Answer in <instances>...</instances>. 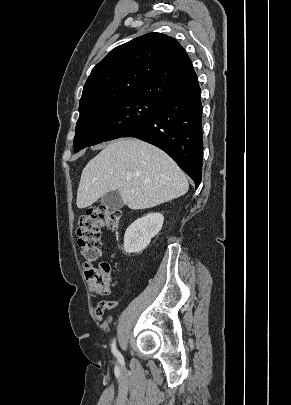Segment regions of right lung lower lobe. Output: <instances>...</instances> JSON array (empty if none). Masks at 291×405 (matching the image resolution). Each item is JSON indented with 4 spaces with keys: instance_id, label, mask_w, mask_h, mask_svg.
I'll return each mask as SVG.
<instances>
[{
    "instance_id": "98d812e1",
    "label": "right lung lower lobe",
    "mask_w": 291,
    "mask_h": 405,
    "mask_svg": "<svg viewBox=\"0 0 291 405\" xmlns=\"http://www.w3.org/2000/svg\"><path fill=\"white\" fill-rule=\"evenodd\" d=\"M202 104L198 81L166 95L150 118L123 137L146 141L165 151L195 182L202 178Z\"/></svg>"
}]
</instances>
